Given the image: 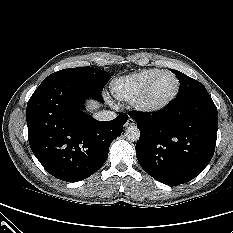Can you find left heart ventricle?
Returning <instances> with one entry per match:
<instances>
[{"label": "left heart ventricle", "instance_id": "b2bd125f", "mask_svg": "<svg viewBox=\"0 0 233 233\" xmlns=\"http://www.w3.org/2000/svg\"><path fill=\"white\" fill-rule=\"evenodd\" d=\"M175 79L170 74L160 75L152 84L147 101L150 103H160L169 98L175 90Z\"/></svg>", "mask_w": 233, "mask_h": 233}]
</instances>
